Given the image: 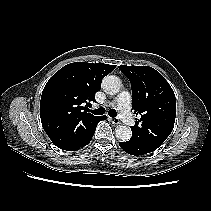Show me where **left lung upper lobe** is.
<instances>
[{"label": "left lung upper lobe", "instance_id": "5c2ea615", "mask_svg": "<svg viewBox=\"0 0 211 211\" xmlns=\"http://www.w3.org/2000/svg\"><path fill=\"white\" fill-rule=\"evenodd\" d=\"M119 69L130 80L132 109L141 116L131 127V138L159 147L172 132L176 117V99L171 86L149 66L121 65Z\"/></svg>", "mask_w": 211, "mask_h": 211}]
</instances>
